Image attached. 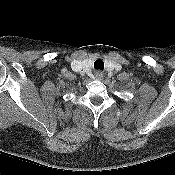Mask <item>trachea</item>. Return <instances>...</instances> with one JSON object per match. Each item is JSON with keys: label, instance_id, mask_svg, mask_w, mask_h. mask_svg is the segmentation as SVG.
<instances>
[{"label": "trachea", "instance_id": "obj_1", "mask_svg": "<svg viewBox=\"0 0 175 175\" xmlns=\"http://www.w3.org/2000/svg\"><path fill=\"white\" fill-rule=\"evenodd\" d=\"M94 68L103 70L104 69V62L101 59H98L94 62Z\"/></svg>", "mask_w": 175, "mask_h": 175}]
</instances>
